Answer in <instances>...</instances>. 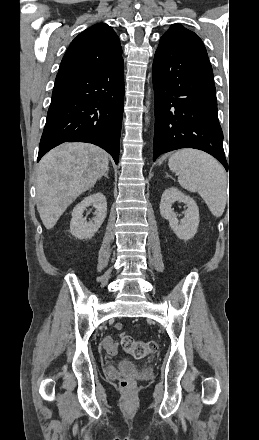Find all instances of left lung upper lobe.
Instances as JSON below:
<instances>
[{
    "label": "left lung upper lobe",
    "instance_id": "left-lung-upper-lobe-1",
    "mask_svg": "<svg viewBox=\"0 0 259 440\" xmlns=\"http://www.w3.org/2000/svg\"><path fill=\"white\" fill-rule=\"evenodd\" d=\"M161 39L170 40L183 45H195L205 50L201 39L194 32L179 24L172 25L161 37Z\"/></svg>",
    "mask_w": 259,
    "mask_h": 440
}]
</instances>
